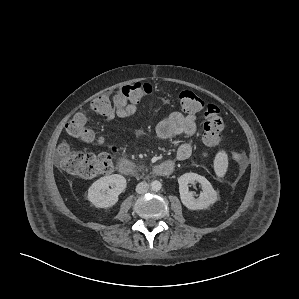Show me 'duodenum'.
I'll return each mask as SVG.
<instances>
[{
    "instance_id": "410a0bca",
    "label": "duodenum",
    "mask_w": 299,
    "mask_h": 299,
    "mask_svg": "<svg viewBox=\"0 0 299 299\" xmlns=\"http://www.w3.org/2000/svg\"><path fill=\"white\" fill-rule=\"evenodd\" d=\"M118 170L121 174L127 176H133L138 172L135 165L127 159H122L118 162ZM173 170L174 164L171 161H165L155 165L152 172L158 176H168L173 172Z\"/></svg>"
}]
</instances>
